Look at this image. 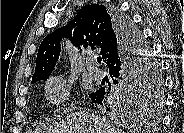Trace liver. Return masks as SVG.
<instances>
[{"label": "liver", "instance_id": "6515ba94", "mask_svg": "<svg viewBox=\"0 0 184 133\" xmlns=\"http://www.w3.org/2000/svg\"><path fill=\"white\" fill-rule=\"evenodd\" d=\"M64 112L67 113L66 119L54 127L47 128L46 133H122L121 129L112 127L108 119L86 109H80L78 112L67 109Z\"/></svg>", "mask_w": 184, "mask_h": 133}]
</instances>
